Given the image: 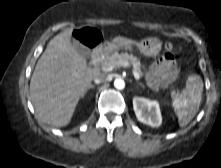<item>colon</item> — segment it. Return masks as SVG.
Listing matches in <instances>:
<instances>
[{
  "mask_svg": "<svg viewBox=\"0 0 221 168\" xmlns=\"http://www.w3.org/2000/svg\"><path fill=\"white\" fill-rule=\"evenodd\" d=\"M101 36L102 33L100 30L91 29V28L80 30L75 34V38L80 43L87 46H92L93 44H95L98 40H100ZM164 48L168 51V53H170L171 50L173 49V45L170 42H166L164 44ZM181 94H182V89L175 88L174 91H172L169 96L171 99L174 100L178 97V95Z\"/></svg>",
  "mask_w": 221,
  "mask_h": 168,
  "instance_id": "5ec220e1",
  "label": "colon"
}]
</instances>
